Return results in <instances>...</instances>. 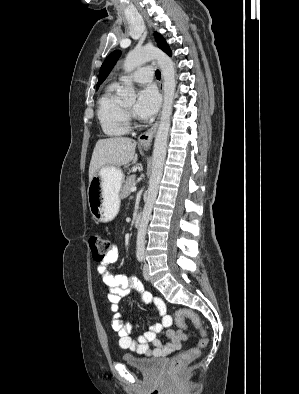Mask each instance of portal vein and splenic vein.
Returning a JSON list of instances; mask_svg holds the SVG:
<instances>
[{
	"mask_svg": "<svg viewBox=\"0 0 299 394\" xmlns=\"http://www.w3.org/2000/svg\"><path fill=\"white\" fill-rule=\"evenodd\" d=\"M136 189H137V188H136L135 186H133V187H131L130 191H131V192H134V191H136Z\"/></svg>",
	"mask_w": 299,
	"mask_h": 394,
	"instance_id": "portal-vein-and-splenic-vein-1",
	"label": "portal vein and splenic vein"
}]
</instances>
